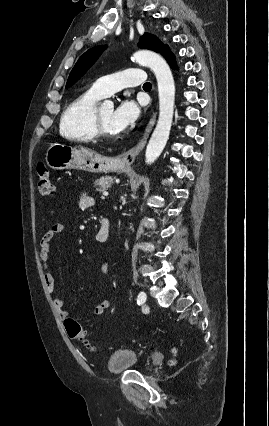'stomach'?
<instances>
[{"label": "stomach", "instance_id": "obj_1", "mask_svg": "<svg viewBox=\"0 0 269 426\" xmlns=\"http://www.w3.org/2000/svg\"><path fill=\"white\" fill-rule=\"evenodd\" d=\"M47 166L53 170L79 169L93 173L124 172L129 165L118 158H107L80 146L51 143L45 154Z\"/></svg>", "mask_w": 269, "mask_h": 426}]
</instances>
